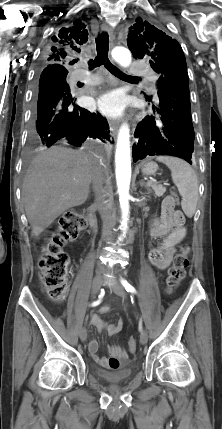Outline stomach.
<instances>
[{"mask_svg": "<svg viewBox=\"0 0 222 429\" xmlns=\"http://www.w3.org/2000/svg\"><path fill=\"white\" fill-rule=\"evenodd\" d=\"M157 169L158 165L153 161H147L141 166V171L144 175H154Z\"/></svg>", "mask_w": 222, "mask_h": 429, "instance_id": "stomach-1", "label": "stomach"}]
</instances>
